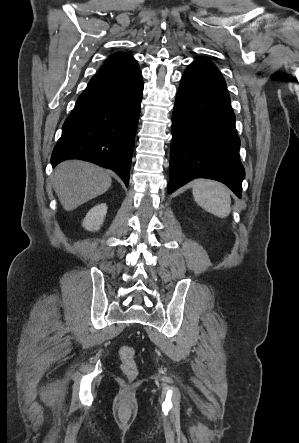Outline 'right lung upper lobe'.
Masks as SVG:
<instances>
[{
    "instance_id": "obj_1",
    "label": "right lung upper lobe",
    "mask_w": 299,
    "mask_h": 443,
    "mask_svg": "<svg viewBox=\"0 0 299 443\" xmlns=\"http://www.w3.org/2000/svg\"><path fill=\"white\" fill-rule=\"evenodd\" d=\"M138 67L136 60L129 54L118 53L112 55L100 68L99 73L129 71Z\"/></svg>"
}]
</instances>
